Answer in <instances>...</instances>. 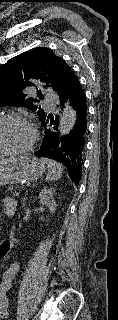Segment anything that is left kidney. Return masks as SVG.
<instances>
[{
  "label": "left kidney",
  "instance_id": "1",
  "mask_svg": "<svg viewBox=\"0 0 118 320\" xmlns=\"http://www.w3.org/2000/svg\"><path fill=\"white\" fill-rule=\"evenodd\" d=\"M40 203L46 205L51 213H54L57 207L56 201L53 196L52 189L44 188L39 194Z\"/></svg>",
  "mask_w": 118,
  "mask_h": 320
}]
</instances>
